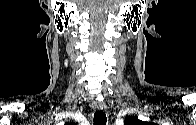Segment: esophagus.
Instances as JSON below:
<instances>
[{
  "mask_svg": "<svg viewBox=\"0 0 196 125\" xmlns=\"http://www.w3.org/2000/svg\"><path fill=\"white\" fill-rule=\"evenodd\" d=\"M94 107H95V109H97L99 111H102L105 108L104 104L100 101H95L94 102Z\"/></svg>",
  "mask_w": 196,
  "mask_h": 125,
  "instance_id": "esophagus-1",
  "label": "esophagus"
}]
</instances>
